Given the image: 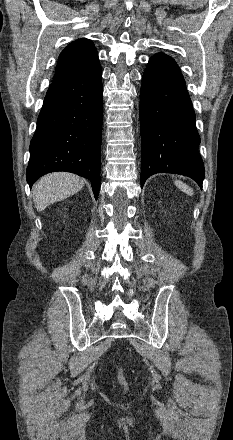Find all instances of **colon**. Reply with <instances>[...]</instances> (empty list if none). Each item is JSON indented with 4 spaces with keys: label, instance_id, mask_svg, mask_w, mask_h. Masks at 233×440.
I'll use <instances>...</instances> for the list:
<instances>
[{
    "label": "colon",
    "instance_id": "5ec220e1",
    "mask_svg": "<svg viewBox=\"0 0 233 440\" xmlns=\"http://www.w3.org/2000/svg\"><path fill=\"white\" fill-rule=\"evenodd\" d=\"M118 380L124 387H126V380L121 370L118 373Z\"/></svg>",
    "mask_w": 233,
    "mask_h": 440
}]
</instances>
